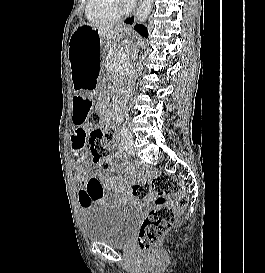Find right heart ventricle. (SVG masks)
I'll use <instances>...</instances> for the list:
<instances>
[{"mask_svg":"<svg viewBox=\"0 0 265 273\" xmlns=\"http://www.w3.org/2000/svg\"><path fill=\"white\" fill-rule=\"evenodd\" d=\"M86 16L94 23H108L116 21L122 15L116 0H87Z\"/></svg>","mask_w":265,"mask_h":273,"instance_id":"e07e8e85","label":"right heart ventricle"}]
</instances>
